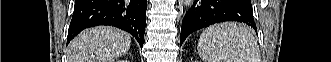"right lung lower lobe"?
Wrapping results in <instances>:
<instances>
[{
  "label": "right lung lower lobe",
  "mask_w": 331,
  "mask_h": 62,
  "mask_svg": "<svg viewBox=\"0 0 331 62\" xmlns=\"http://www.w3.org/2000/svg\"><path fill=\"white\" fill-rule=\"evenodd\" d=\"M146 0H76L67 44L83 29L111 25L127 31L143 46Z\"/></svg>",
  "instance_id": "obj_1"
}]
</instances>
